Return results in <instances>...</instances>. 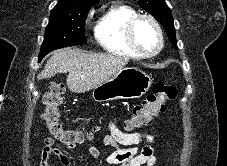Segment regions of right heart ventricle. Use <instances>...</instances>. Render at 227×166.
Instances as JSON below:
<instances>
[{
	"instance_id": "right-heart-ventricle-1",
	"label": "right heart ventricle",
	"mask_w": 227,
	"mask_h": 166,
	"mask_svg": "<svg viewBox=\"0 0 227 166\" xmlns=\"http://www.w3.org/2000/svg\"><path fill=\"white\" fill-rule=\"evenodd\" d=\"M138 13L124 3H114L98 18L94 34L98 44L107 52L115 55L140 58L129 46L125 29L128 21Z\"/></svg>"
}]
</instances>
